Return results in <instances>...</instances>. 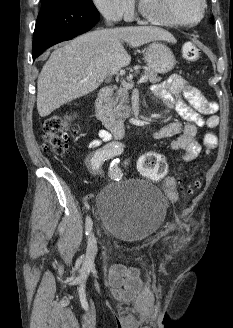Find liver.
<instances>
[{
	"label": "liver",
	"mask_w": 233,
	"mask_h": 328,
	"mask_svg": "<svg viewBox=\"0 0 233 328\" xmlns=\"http://www.w3.org/2000/svg\"><path fill=\"white\" fill-rule=\"evenodd\" d=\"M155 40L175 43L168 31L152 26L102 29L80 35L56 48L37 81V110L46 117L55 109L97 89L104 79L130 64L122 42L139 47Z\"/></svg>",
	"instance_id": "1"
}]
</instances>
